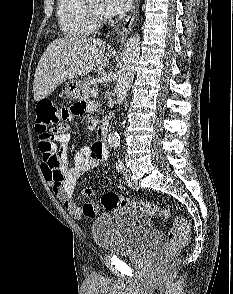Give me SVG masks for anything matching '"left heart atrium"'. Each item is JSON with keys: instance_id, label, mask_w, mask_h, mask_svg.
<instances>
[{"instance_id": "left-heart-atrium-1", "label": "left heart atrium", "mask_w": 233, "mask_h": 294, "mask_svg": "<svg viewBox=\"0 0 233 294\" xmlns=\"http://www.w3.org/2000/svg\"><path fill=\"white\" fill-rule=\"evenodd\" d=\"M133 0H107L105 12L109 16H117L129 10Z\"/></svg>"}]
</instances>
